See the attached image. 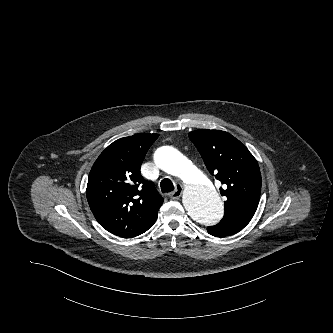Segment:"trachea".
<instances>
[{
	"mask_svg": "<svg viewBox=\"0 0 333 333\" xmlns=\"http://www.w3.org/2000/svg\"><path fill=\"white\" fill-rule=\"evenodd\" d=\"M160 187L163 193H169L172 192L174 190V185L172 183V181L170 179H163L160 182Z\"/></svg>",
	"mask_w": 333,
	"mask_h": 333,
	"instance_id": "3493384b",
	"label": "trachea"
}]
</instances>
